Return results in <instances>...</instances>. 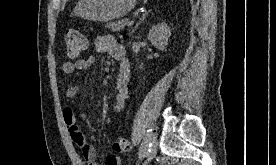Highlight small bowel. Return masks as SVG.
<instances>
[{
	"instance_id": "c3829d8e",
	"label": "small bowel",
	"mask_w": 276,
	"mask_h": 165,
	"mask_svg": "<svg viewBox=\"0 0 276 165\" xmlns=\"http://www.w3.org/2000/svg\"><path fill=\"white\" fill-rule=\"evenodd\" d=\"M95 48L99 52L107 53L115 59L119 65V73L116 80V101L114 110L119 112L129 97V80H130V63L126 57L125 46L119 43L114 36L102 34L97 36L95 40ZM96 64L94 56L77 59L75 61H66L61 66V71L65 75H71L74 72H83ZM78 84L68 88L66 95L72 98L78 91ZM63 120L72 141L79 147L87 165H100L96 160V154L93 147L86 141L84 135L80 131L76 117L70 108H64ZM106 165H119L120 159L116 155H109L106 159Z\"/></svg>"
}]
</instances>
